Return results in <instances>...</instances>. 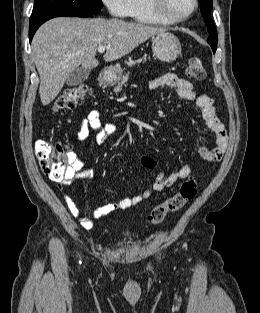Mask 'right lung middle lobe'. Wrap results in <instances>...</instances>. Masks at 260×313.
<instances>
[{
    "instance_id": "right-lung-middle-lobe-1",
    "label": "right lung middle lobe",
    "mask_w": 260,
    "mask_h": 313,
    "mask_svg": "<svg viewBox=\"0 0 260 313\" xmlns=\"http://www.w3.org/2000/svg\"><path fill=\"white\" fill-rule=\"evenodd\" d=\"M103 7L101 0H34L32 14L42 12L97 14Z\"/></svg>"
}]
</instances>
